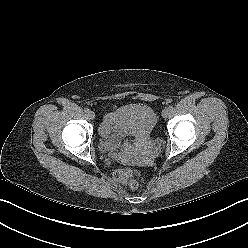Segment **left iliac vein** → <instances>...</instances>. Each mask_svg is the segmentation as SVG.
Returning a JSON list of instances; mask_svg holds the SVG:
<instances>
[{
	"label": "left iliac vein",
	"mask_w": 248,
	"mask_h": 248,
	"mask_svg": "<svg viewBox=\"0 0 248 248\" xmlns=\"http://www.w3.org/2000/svg\"><path fill=\"white\" fill-rule=\"evenodd\" d=\"M170 111H171V110H170L169 107L164 108L163 111H162V116H163L164 118L168 117V115L170 114Z\"/></svg>",
	"instance_id": "1"
}]
</instances>
